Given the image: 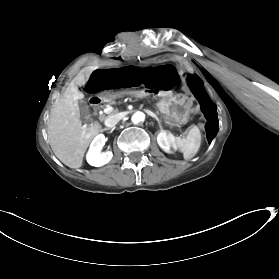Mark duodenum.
<instances>
[{
	"instance_id": "1",
	"label": "duodenum",
	"mask_w": 279,
	"mask_h": 279,
	"mask_svg": "<svg viewBox=\"0 0 279 279\" xmlns=\"http://www.w3.org/2000/svg\"><path fill=\"white\" fill-rule=\"evenodd\" d=\"M157 95H158V91L156 89L140 91V92H136L135 94L128 93V96H134L136 99L146 98V97H156ZM121 96H126V93H121ZM112 97H114V94H110V95L101 97L100 95L93 93V94L89 95L87 102L91 108L98 110V109L102 108V106L104 104V101H103L104 99L112 98Z\"/></svg>"
}]
</instances>
